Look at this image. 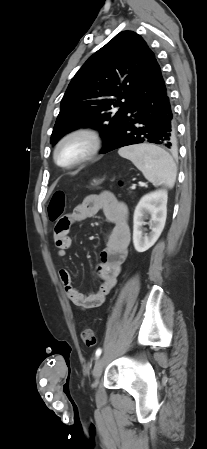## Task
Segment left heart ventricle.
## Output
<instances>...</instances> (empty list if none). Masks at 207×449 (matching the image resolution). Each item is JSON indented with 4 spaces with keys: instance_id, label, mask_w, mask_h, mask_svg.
I'll use <instances>...</instances> for the list:
<instances>
[{
    "instance_id": "obj_1",
    "label": "left heart ventricle",
    "mask_w": 207,
    "mask_h": 449,
    "mask_svg": "<svg viewBox=\"0 0 207 449\" xmlns=\"http://www.w3.org/2000/svg\"><path fill=\"white\" fill-rule=\"evenodd\" d=\"M88 144L84 139H73L64 144L58 153V159L61 163H70L81 157L87 150Z\"/></svg>"
}]
</instances>
